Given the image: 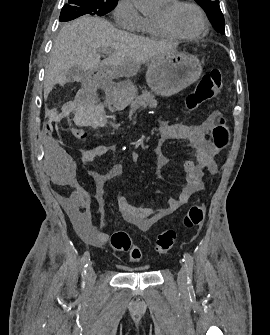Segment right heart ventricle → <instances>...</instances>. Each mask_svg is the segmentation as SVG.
Returning <instances> with one entry per match:
<instances>
[{"label":"right heart ventricle","instance_id":"right-heart-ventricle-1","mask_svg":"<svg viewBox=\"0 0 270 335\" xmlns=\"http://www.w3.org/2000/svg\"><path fill=\"white\" fill-rule=\"evenodd\" d=\"M172 3L173 2H170V3L161 2V4L165 6H168ZM139 30L154 38H161V39L170 38V36L163 33V31L155 23V19H152V18L143 17Z\"/></svg>","mask_w":270,"mask_h":335}]
</instances>
